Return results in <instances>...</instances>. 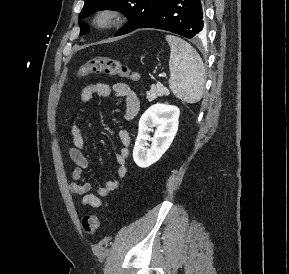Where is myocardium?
<instances>
[{
  "instance_id": "myocardium-1",
  "label": "myocardium",
  "mask_w": 289,
  "mask_h": 274,
  "mask_svg": "<svg viewBox=\"0 0 289 274\" xmlns=\"http://www.w3.org/2000/svg\"><path fill=\"white\" fill-rule=\"evenodd\" d=\"M123 20V12L113 6H104L97 9L92 15L93 24L100 29H112Z\"/></svg>"
}]
</instances>
